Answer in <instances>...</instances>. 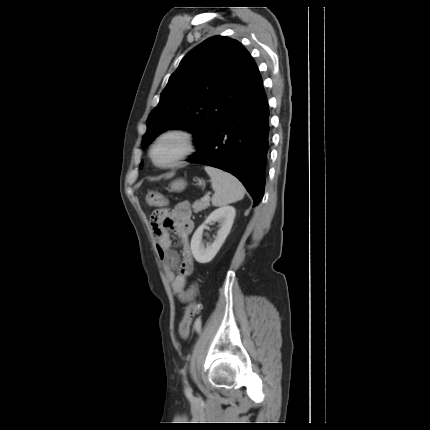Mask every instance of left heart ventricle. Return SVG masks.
I'll return each mask as SVG.
<instances>
[{
    "mask_svg": "<svg viewBox=\"0 0 430 430\" xmlns=\"http://www.w3.org/2000/svg\"><path fill=\"white\" fill-rule=\"evenodd\" d=\"M182 148L178 138L171 137L162 142L157 150V158L160 162H166L175 156Z\"/></svg>",
    "mask_w": 430,
    "mask_h": 430,
    "instance_id": "b2bd125f",
    "label": "left heart ventricle"
}]
</instances>
